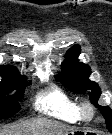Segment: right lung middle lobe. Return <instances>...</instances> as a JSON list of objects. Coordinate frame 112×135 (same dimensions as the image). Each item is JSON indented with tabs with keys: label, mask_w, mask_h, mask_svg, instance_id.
<instances>
[{
	"label": "right lung middle lobe",
	"mask_w": 112,
	"mask_h": 135,
	"mask_svg": "<svg viewBox=\"0 0 112 135\" xmlns=\"http://www.w3.org/2000/svg\"><path fill=\"white\" fill-rule=\"evenodd\" d=\"M24 81L25 78L21 76H11L2 79L0 82V117H8L20 109L17 100L23 97L24 88L26 87ZM16 88H19V90L15 95L4 97L5 94Z\"/></svg>",
	"instance_id": "right-lung-middle-lobe-1"
}]
</instances>
